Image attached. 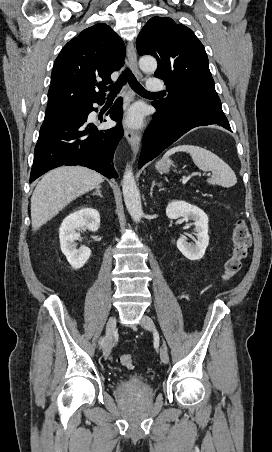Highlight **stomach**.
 Wrapping results in <instances>:
<instances>
[{
  "label": "stomach",
  "instance_id": "stomach-1",
  "mask_svg": "<svg viewBox=\"0 0 272 452\" xmlns=\"http://www.w3.org/2000/svg\"><path fill=\"white\" fill-rule=\"evenodd\" d=\"M172 164L171 160L168 158L162 159L156 163L155 167L160 173L168 172L170 165Z\"/></svg>",
  "mask_w": 272,
  "mask_h": 452
}]
</instances>
